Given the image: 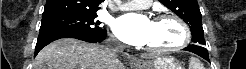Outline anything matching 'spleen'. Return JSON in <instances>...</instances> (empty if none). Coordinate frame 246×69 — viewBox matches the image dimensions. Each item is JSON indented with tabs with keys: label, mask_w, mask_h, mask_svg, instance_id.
<instances>
[{
	"label": "spleen",
	"mask_w": 246,
	"mask_h": 69,
	"mask_svg": "<svg viewBox=\"0 0 246 69\" xmlns=\"http://www.w3.org/2000/svg\"><path fill=\"white\" fill-rule=\"evenodd\" d=\"M189 69H204V66L199 59L191 57L189 60Z\"/></svg>",
	"instance_id": "obj_1"
}]
</instances>
